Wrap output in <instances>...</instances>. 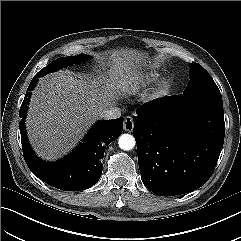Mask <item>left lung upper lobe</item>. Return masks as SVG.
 <instances>
[{
    "label": "left lung upper lobe",
    "instance_id": "left-lung-upper-lobe-1",
    "mask_svg": "<svg viewBox=\"0 0 241 241\" xmlns=\"http://www.w3.org/2000/svg\"><path fill=\"white\" fill-rule=\"evenodd\" d=\"M211 93L221 95L209 73L198 63H191L190 81L183 94Z\"/></svg>",
    "mask_w": 241,
    "mask_h": 241
}]
</instances>
